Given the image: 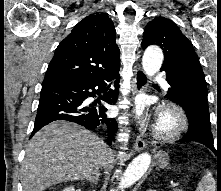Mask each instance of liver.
Returning <instances> with one entry per match:
<instances>
[{
	"label": "liver",
	"mask_w": 221,
	"mask_h": 191,
	"mask_svg": "<svg viewBox=\"0 0 221 191\" xmlns=\"http://www.w3.org/2000/svg\"><path fill=\"white\" fill-rule=\"evenodd\" d=\"M107 146L94 133L67 121H55L37 132L22 162L23 191L90 178L107 166Z\"/></svg>",
	"instance_id": "liver-1"
}]
</instances>
